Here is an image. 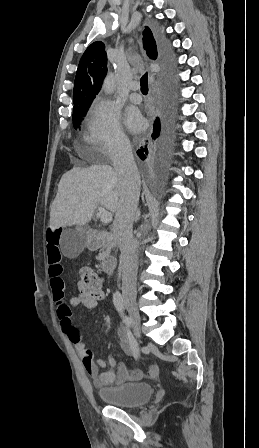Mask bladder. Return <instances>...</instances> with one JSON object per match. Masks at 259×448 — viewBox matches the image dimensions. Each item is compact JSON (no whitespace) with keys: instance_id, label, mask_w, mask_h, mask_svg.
Segmentation results:
<instances>
[{"instance_id":"31cf9c89","label":"bladder","mask_w":259,"mask_h":448,"mask_svg":"<svg viewBox=\"0 0 259 448\" xmlns=\"http://www.w3.org/2000/svg\"><path fill=\"white\" fill-rule=\"evenodd\" d=\"M106 404L119 407H137L148 402L153 395V387L148 383H125L98 392Z\"/></svg>"}]
</instances>
